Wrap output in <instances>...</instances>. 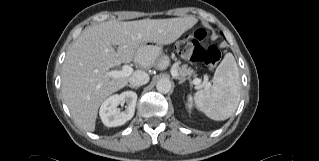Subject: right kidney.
Listing matches in <instances>:
<instances>
[{
	"label": "right kidney",
	"mask_w": 319,
	"mask_h": 161,
	"mask_svg": "<svg viewBox=\"0 0 319 161\" xmlns=\"http://www.w3.org/2000/svg\"><path fill=\"white\" fill-rule=\"evenodd\" d=\"M137 94L133 91H125L107 98L101 105L99 115L103 124L107 127L123 125L130 120L135 112ZM126 103L125 111L120 112L118 105Z\"/></svg>",
	"instance_id": "1"
}]
</instances>
